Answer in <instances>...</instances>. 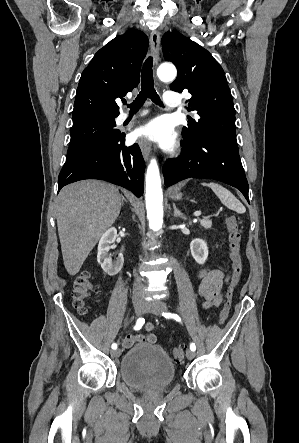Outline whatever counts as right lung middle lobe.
Segmentation results:
<instances>
[{
    "instance_id": "1",
    "label": "right lung middle lobe",
    "mask_w": 299,
    "mask_h": 443,
    "mask_svg": "<svg viewBox=\"0 0 299 443\" xmlns=\"http://www.w3.org/2000/svg\"><path fill=\"white\" fill-rule=\"evenodd\" d=\"M115 117L89 118L73 124L66 160L87 148L114 139L120 133L115 129Z\"/></svg>"
}]
</instances>
